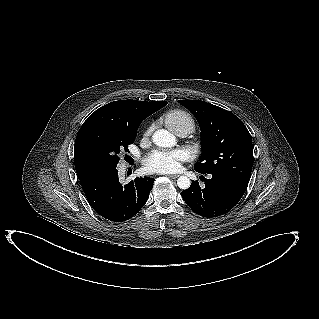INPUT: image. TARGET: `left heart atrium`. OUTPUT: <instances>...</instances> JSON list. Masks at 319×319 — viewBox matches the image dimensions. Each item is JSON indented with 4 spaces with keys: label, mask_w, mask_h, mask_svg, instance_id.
<instances>
[{
    "label": "left heart atrium",
    "mask_w": 319,
    "mask_h": 319,
    "mask_svg": "<svg viewBox=\"0 0 319 319\" xmlns=\"http://www.w3.org/2000/svg\"><path fill=\"white\" fill-rule=\"evenodd\" d=\"M183 158L181 151H152L143 159L145 171L149 173H170L179 168Z\"/></svg>",
    "instance_id": "obj_1"
}]
</instances>
